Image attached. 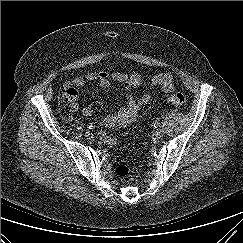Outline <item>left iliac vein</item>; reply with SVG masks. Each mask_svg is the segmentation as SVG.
Segmentation results:
<instances>
[{"mask_svg":"<svg viewBox=\"0 0 243 243\" xmlns=\"http://www.w3.org/2000/svg\"><path fill=\"white\" fill-rule=\"evenodd\" d=\"M163 135H164V130H163V129H157V130H156V132H155V137H156L157 139L162 138Z\"/></svg>","mask_w":243,"mask_h":243,"instance_id":"4c4485c4","label":"left iliac vein"}]
</instances>
